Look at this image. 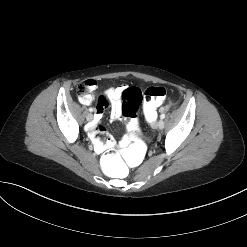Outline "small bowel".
Segmentation results:
<instances>
[{
	"mask_svg": "<svg viewBox=\"0 0 247 247\" xmlns=\"http://www.w3.org/2000/svg\"><path fill=\"white\" fill-rule=\"evenodd\" d=\"M91 84V91L96 89V82L93 80L88 81ZM126 87L124 85L110 87L105 91V96L100 98L96 107L95 121L90 130V136L94 144V150L97 153H102L105 150H109L114 147L115 142L111 137L102 142L101 135L105 134L104 129L98 126L106 109L110 108L111 116L118 118L121 115V98ZM90 91V92H91ZM94 100V95L89 93L84 97H80V102L84 105H90ZM130 140L128 137H123L120 141V146L128 145Z\"/></svg>",
	"mask_w": 247,
	"mask_h": 247,
	"instance_id": "c3829d8e",
	"label": "small bowel"
}]
</instances>
